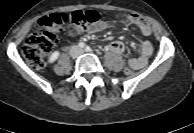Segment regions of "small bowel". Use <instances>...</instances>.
Wrapping results in <instances>:
<instances>
[{
  "label": "small bowel",
  "mask_w": 194,
  "mask_h": 133,
  "mask_svg": "<svg viewBox=\"0 0 194 133\" xmlns=\"http://www.w3.org/2000/svg\"><path fill=\"white\" fill-rule=\"evenodd\" d=\"M117 18L121 19L128 25H134L136 26L140 32L148 36L151 34V26L150 24L141 16L137 14H123V15H117ZM108 25L105 23H99L96 25H93L89 28V31L91 33L99 32L103 29H105ZM108 49L115 52V53H122L124 50V46L122 42L120 41H114L109 46ZM139 55L137 57H131L128 59V65L131 66L134 70L140 69L144 67L149 57L151 56L153 52V47L149 41H143L138 45Z\"/></svg>",
  "instance_id": "1"
}]
</instances>
